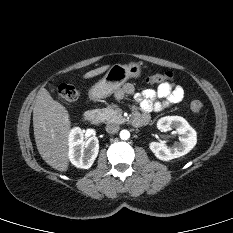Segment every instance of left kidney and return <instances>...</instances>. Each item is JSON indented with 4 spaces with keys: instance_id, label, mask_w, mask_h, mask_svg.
<instances>
[{
    "instance_id": "obj_1",
    "label": "left kidney",
    "mask_w": 233,
    "mask_h": 233,
    "mask_svg": "<svg viewBox=\"0 0 233 233\" xmlns=\"http://www.w3.org/2000/svg\"><path fill=\"white\" fill-rule=\"evenodd\" d=\"M157 127L162 132L175 129V132L181 135V137L179 138L180 142L175 143L172 147L167 146L163 142H151L149 144L150 150L158 159L162 161H169L186 155L188 152H190V150L194 148L197 143L196 131L183 117H163L158 121Z\"/></svg>"
}]
</instances>
